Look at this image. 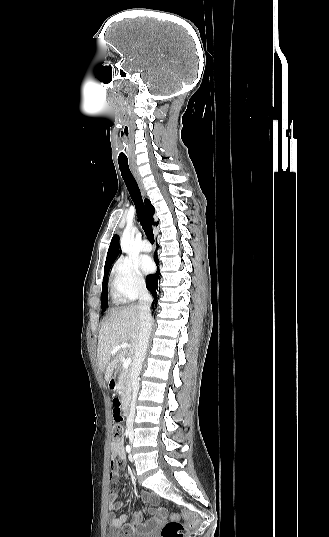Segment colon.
<instances>
[{
    "instance_id": "1",
    "label": "colon",
    "mask_w": 329,
    "mask_h": 537,
    "mask_svg": "<svg viewBox=\"0 0 329 537\" xmlns=\"http://www.w3.org/2000/svg\"><path fill=\"white\" fill-rule=\"evenodd\" d=\"M117 403V399H113V404ZM113 413V412H112ZM123 438V427L121 423H114L111 430V439L112 443H118L122 441ZM200 513L196 509H174L170 512L171 519L163 526L161 530V537H184L186 533V525L179 521V518L182 520H192L189 523V526L192 527L196 524V519H198Z\"/></svg>"
}]
</instances>
